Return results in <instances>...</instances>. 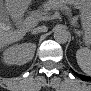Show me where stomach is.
<instances>
[{
	"label": "stomach",
	"instance_id": "obj_1",
	"mask_svg": "<svg viewBox=\"0 0 91 91\" xmlns=\"http://www.w3.org/2000/svg\"><path fill=\"white\" fill-rule=\"evenodd\" d=\"M74 5L78 6V7H82V8H85L86 4H89L87 2H84V1H80V0H73L71 1ZM83 20V26H84V30L87 34V38H89V33H90V27H91V18L88 15L86 16H83L82 18Z\"/></svg>",
	"mask_w": 91,
	"mask_h": 91
}]
</instances>
